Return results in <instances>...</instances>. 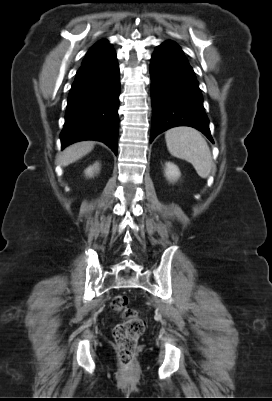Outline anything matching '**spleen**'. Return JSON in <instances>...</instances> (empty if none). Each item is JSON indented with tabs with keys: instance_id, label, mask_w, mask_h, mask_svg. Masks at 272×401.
Masks as SVG:
<instances>
[{
	"instance_id": "3e777b00",
	"label": "spleen",
	"mask_w": 272,
	"mask_h": 401,
	"mask_svg": "<svg viewBox=\"0 0 272 401\" xmlns=\"http://www.w3.org/2000/svg\"><path fill=\"white\" fill-rule=\"evenodd\" d=\"M171 155L191 163L201 178H207L212 169V156L202 135L190 127H176L165 134Z\"/></svg>"
}]
</instances>
